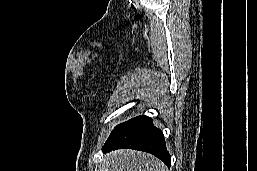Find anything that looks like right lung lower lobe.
Segmentation results:
<instances>
[{"label": "right lung lower lobe", "mask_w": 257, "mask_h": 171, "mask_svg": "<svg viewBox=\"0 0 257 171\" xmlns=\"http://www.w3.org/2000/svg\"><path fill=\"white\" fill-rule=\"evenodd\" d=\"M121 148L148 152L162 160L168 167L171 165V156L167 152L163 133L153 125L152 119L148 116H137L114 128L103 150L110 152Z\"/></svg>", "instance_id": "obj_1"}]
</instances>
